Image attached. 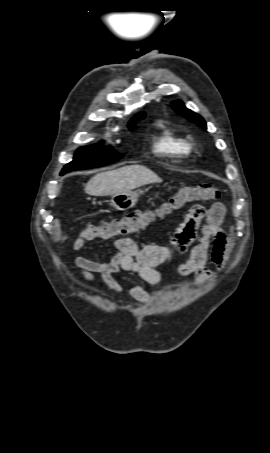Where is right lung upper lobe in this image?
<instances>
[{
	"instance_id": "1",
	"label": "right lung upper lobe",
	"mask_w": 270,
	"mask_h": 453,
	"mask_svg": "<svg viewBox=\"0 0 270 453\" xmlns=\"http://www.w3.org/2000/svg\"><path fill=\"white\" fill-rule=\"evenodd\" d=\"M145 117L144 113L137 114L134 119H132L129 123V127L134 125V122L138 119H142Z\"/></svg>"
}]
</instances>
